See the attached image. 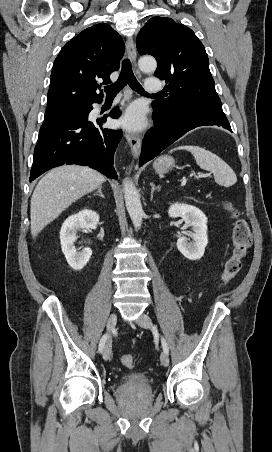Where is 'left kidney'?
<instances>
[{
	"instance_id": "obj_1",
	"label": "left kidney",
	"mask_w": 272,
	"mask_h": 452,
	"mask_svg": "<svg viewBox=\"0 0 272 452\" xmlns=\"http://www.w3.org/2000/svg\"><path fill=\"white\" fill-rule=\"evenodd\" d=\"M168 215L172 218L181 217L185 224L192 229L188 236L193 241L188 242L187 237H180L177 240L178 250L189 260L202 258L208 244L206 215L197 207L185 203L172 204L169 207Z\"/></svg>"
}]
</instances>
